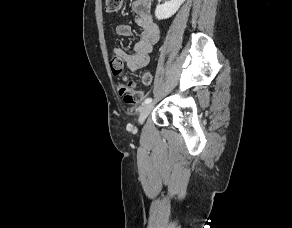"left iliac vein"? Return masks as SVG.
I'll return each instance as SVG.
<instances>
[{
  "label": "left iliac vein",
  "instance_id": "obj_1",
  "mask_svg": "<svg viewBox=\"0 0 292 228\" xmlns=\"http://www.w3.org/2000/svg\"><path fill=\"white\" fill-rule=\"evenodd\" d=\"M154 105L152 103L144 104L140 109L139 122L143 123L151 113Z\"/></svg>",
  "mask_w": 292,
  "mask_h": 228
}]
</instances>
